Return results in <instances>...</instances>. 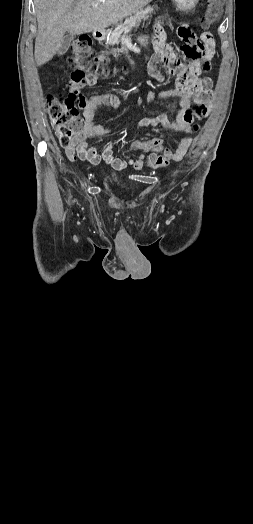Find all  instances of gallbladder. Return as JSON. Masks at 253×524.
Returning <instances> with one entry per match:
<instances>
[{"instance_id": "1", "label": "gallbladder", "mask_w": 253, "mask_h": 524, "mask_svg": "<svg viewBox=\"0 0 253 524\" xmlns=\"http://www.w3.org/2000/svg\"><path fill=\"white\" fill-rule=\"evenodd\" d=\"M73 40V35L71 34H68L64 37L62 43H61V46L57 52V54L60 56V55H63L66 53V51L68 50L69 46H70V43L71 41Z\"/></svg>"}]
</instances>
